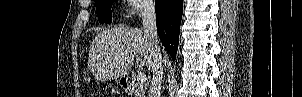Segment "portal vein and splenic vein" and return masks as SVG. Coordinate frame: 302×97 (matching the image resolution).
<instances>
[{
  "mask_svg": "<svg viewBox=\"0 0 302 97\" xmlns=\"http://www.w3.org/2000/svg\"><path fill=\"white\" fill-rule=\"evenodd\" d=\"M137 81L140 84L145 83L147 81L146 75L144 73H138L137 74Z\"/></svg>",
  "mask_w": 302,
  "mask_h": 97,
  "instance_id": "obj_1",
  "label": "portal vein and splenic vein"
}]
</instances>
